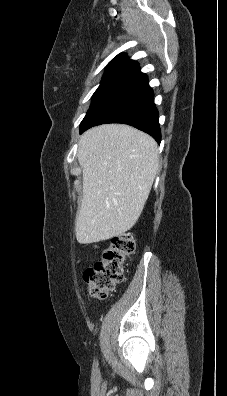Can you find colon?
Returning a JSON list of instances; mask_svg holds the SVG:
<instances>
[{"mask_svg":"<svg viewBox=\"0 0 227 396\" xmlns=\"http://www.w3.org/2000/svg\"><path fill=\"white\" fill-rule=\"evenodd\" d=\"M135 238L130 233L114 237L102 250L100 259L84 273L91 296L106 299L124 280V263L135 250Z\"/></svg>","mask_w":227,"mask_h":396,"instance_id":"colon-1","label":"colon"}]
</instances>
